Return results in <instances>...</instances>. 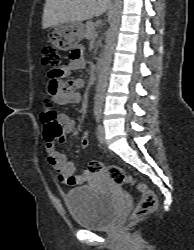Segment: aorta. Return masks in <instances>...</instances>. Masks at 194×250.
<instances>
[{
	"label": "aorta",
	"instance_id": "762f6f07",
	"mask_svg": "<svg viewBox=\"0 0 194 250\" xmlns=\"http://www.w3.org/2000/svg\"><path fill=\"white\" fill-rule=\"evenodd\" d=\"M121 12H122V0H115L110 18V27L107 33L105 49L100 64L98 81L96 86V95L94 98V112L96 114L101 113L103 108L110 65L114 53L116 38L119 31Z\"/></svg>",
	"mask_w": 194,
	"mask_h": 250
}]
</instances>
